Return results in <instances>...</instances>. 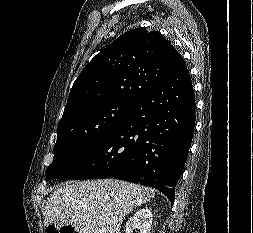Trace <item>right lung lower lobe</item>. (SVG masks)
I'll return each instance as SVG.
<instances>
[{
  "label": "right lung lower lobe",
  "mask_w": 253,
  "mask_h": 233,
  "mask_svg": "<svg viewBox=\"0 0 253 233\" xmlns=\"http://www.w3.org/2000/svg\"><path fill=\"white\" fill-rule=\"evenodd\" d=\"M194 123L195 96L185 66L148 88L99 146L56 178L139 183L157 188L173 204Z\"/></svg>",
  "instance_id": "obj_1"
}]
</instances>
